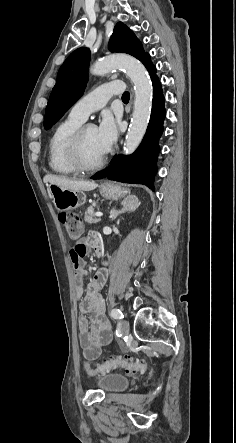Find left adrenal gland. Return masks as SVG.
I'll return each instance as SVG.
<instances>
[{
    "label": "left adrenal gland",
    "mask_w": 236,
    "mask_h": 443,
    "mask_svg": "<svg viewBox=\"0 0 236 443\" xmlns=\"http://www.w3.org/2000/svg\"><path fill=\"white\" fill-rule=\"evenodd\" d=\"M122 205H123V208H122L121 210H119V211H117V210H115V209L111 210V213H110V219H111L112 221L115 220V219L117 218V216H119L120 214H122V213H124V212H126V211H130V210H132L133 208H135V205H133V204H128V203L125 202V201L122 202Z\"/></svg>",
    "instance_id": "left-adrenal-gland-1"
}]
</instances>
